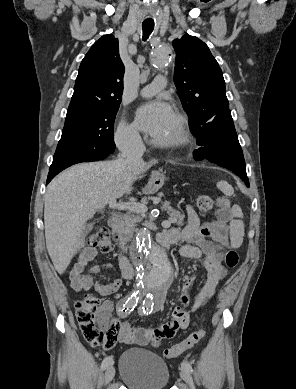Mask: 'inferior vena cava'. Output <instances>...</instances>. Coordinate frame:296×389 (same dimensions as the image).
Instances as JSON below:
<instances>
[{
	"label": "inferior vena cava",
	"mask_w": 296,
	"mask_h": 389,
	"mask_svg": "<svg viewBox=\"0 0 296 389\" xmlns=\"http://www.w3.org/2000/svg\"><path fill=\"white\" fill-rule=\"evenodd\" d=\"M145 146L138 133H131L125 137L121 145L120 159L126 164L142 159Z\"/></svg>",
	"instance_id": "602c4592"
}]
</instances>
